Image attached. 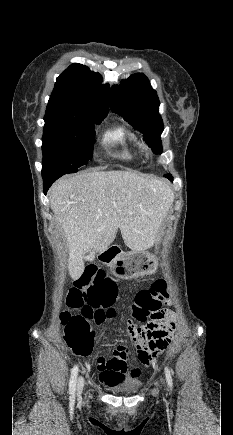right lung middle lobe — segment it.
<instances>
[{
  "mask_svg": "<svg viewBox=\"0 0 233 435\" xmlns=\"http://www.w3.org/2000/svg\"><path fill=\"white\" fill-rule=\"evenodd\" d=\"M106 115L45 120L43 129L42 176L75 173L92 157L94 124Z\"/></svg>",
  "mask_w": 233,
  "mask_h": 435,
  "instance_id": "right-lung-middle-lobe-1",
  "label": "right lung middle lobe"
}]
</instances>
